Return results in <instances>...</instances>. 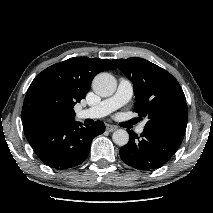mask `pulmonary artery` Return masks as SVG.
Returning <instances> with one entry per match:
<instances>
[{
	"label": "pulmonary artery",
	"instance_id": "e3ab8cb5",
	"mask_svg": "<svg viewBox=\"0 0 213 213\" xmlns=\"http://www.w3.org/2000/svg\"><path fill=\"white\" fill-rule=\"evenodd\" d=\"M133 94V84L132 82L124 77L119 79L118 87L113 96L107 98L100 103L83 109L78 112L77 117L79 119H87V118H100L108 115L112 111L118 109L119 107L126 104ZM144 130V124H141L137 127V133L141 134Z\"/></svg>",
	"mask_w": 213,
	"mask_h": 213
}]
</instances>
